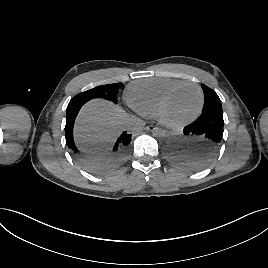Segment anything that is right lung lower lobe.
I'll return each instance as SVG.
<instances>
[{
    "mask_svg": "<svg viewBox=\"0 0 268 268\" xmlns=\"http://www.w3.org/2000/svg\"><path fill=\"white\" fill-rule=\"evenodd\" d=\"M85 101L69 103L66 111L65 139L66 145L73 156L88 170L94 173H104L118 167L125 159L131 142V134L124 132L116 141L108 158L103 162H97L77 148L73 140V125L75 118Z\"/></svg>",
    "mask_w": 268,
    "mask_h": 268,
    "instance_id": "obj_1",
    "label": "right lung lower lobe"
}]
</instances>
